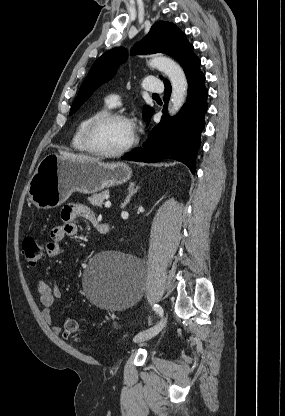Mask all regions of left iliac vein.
<instances>
[{
    "mask_svg": "<svg viewBox=\"0 0 285 416\" xmlns=\"http://www.w3.org/2000/svg\"><path fill=\"white\" fill-rule=\"evenodd\" d=\"M166 321L167 317L164 316L160 323L136 335L134 342L140 343L155 337L164 328Z\"/></svg>",
    "mask_w": 285,
    "mask_h": 416,
    "instance_id": "1",
    "label": "left iliac vein"
}]
</instances>
